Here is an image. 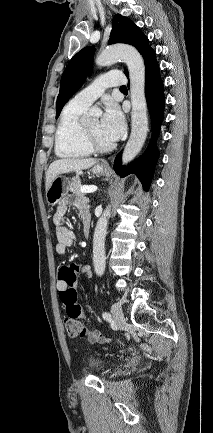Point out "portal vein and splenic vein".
<instances>
[{
	"label": "portal vein and splenic vein",
	"mask_w": 213,
	"mask_h": 433,
	"mask_svg": "<svg viewBox=\"0 0 213 433\" xmlns=\"http://www.w3.org/2000/svg\"><path fill=\"white\" fill-rule=\"evenodd\" d=\"M97 190L96 186H82L80 191L81 193H93Z\"/></svg>",
	"instance_id": "1"
}]
</instances>
